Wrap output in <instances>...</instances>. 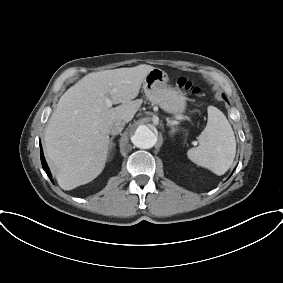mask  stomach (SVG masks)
<instances>
[{"label": "stomach", "instance_id": "0dacf381", "mask_svg": "<svg viewBox=\"0 0 283 283\" xmlns=\"http://www.w3.org/2000/svg\"><path fill=\"white\" fill-rule=\"evenodd\" d=\"M168 75L160 69L154 68L143 80V90L146 97L158 105L165 112L178 116L186 109L184 94L167 84Z\"/></svg>", "mask_w": 283, "mask_h": 283}]
</instances>
